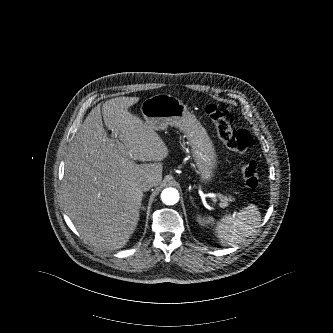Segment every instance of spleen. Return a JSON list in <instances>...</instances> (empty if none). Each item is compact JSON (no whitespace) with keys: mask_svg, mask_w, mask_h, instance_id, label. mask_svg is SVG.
<instances>
[{"mask_svg":"<svg viewBox=\"0 0 333 333\" xmlns=\"http://www.w3.org/2000/svg\"><path fill=\"white\" fill-rule=\"evenodd\" d=\"M195 220L201 228H213L217 243L234 246L245 240L258 227L261 213L256 205L249 204L237 214H227L217 221L213 216L199 214L195 216Z\"/></svg>","mask_w":333,"mask_h":333,"instance_id":"3e777b00","label":"spleen"}]
</instances>
